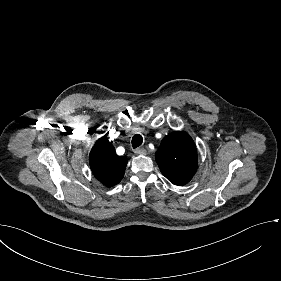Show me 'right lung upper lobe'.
<instances>
[{
	"label": "right lung upper lobe",
	"instance_id": "1",
	"mask_svg": "<svg viewBox=\"0 0 281 281\" xmlns=\"http://www.w3.org/2000/svg\"><path fill=\"white\" fill-rule=\"evenodd\" d=\"M89 163L94 176L104 185L112 187L123 178L127 159L118 156L108 139L102 137L93 146Z\"/></svg>",
	"mask_w": 281,
	"mask_h": 281
}]
</instances>
